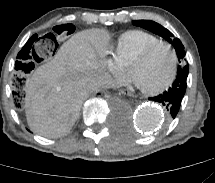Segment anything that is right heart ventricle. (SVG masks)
<instances>
[{"label": "right heart ventricle", "mask_w": 215, "mask_h": 183, "mask_svg": "<svg viewBox=\"0 0 215 183\" xmlns=\"http://www.w3.org/2000/svg\"><path fill=\"white\" fill-rule=\"evenodd\" d=\"M161 41L150 32L134 29L123 33L117 40L114 48L116 56L123 65H131L132 60L149 45Z\"/></svg>", "instance_id": "1"}]
</instances>
